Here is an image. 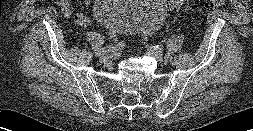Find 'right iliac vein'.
Masks as SVG:
<instances>
[{
    "mask_svg": "<svg viewBox=\"0 0 253 131\" xmlns=\"http://www.w3.org/2000/svg\"><path fill=\"white\" fill-rule=\"evenodd\" d=\"M100 60L103 61V62H105V61L108 60V56L101 55V56H100Z\"/></svg>",
    "mask_w": 253,
    "mask_h": 131,
    "instance_id": "right-iliac-vein-1",
    "label": "right iliac vein"
}]
</instances>
